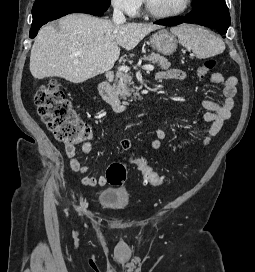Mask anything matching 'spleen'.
Here are the masks:
<instances>
[{
  "mask_svg": "<svg viewBox=\"0 0 255 272\" xmlns=\"http://www.w3.org/2000/svg\"><path fill=\"white\" fill-rule=\"evenodd\" d=\"M171 31L177 35L181 45L192 50L199 59L220 54L225 50L223 40L202 27L183 24Z\"/></svg>",
  "mask_w": 255,
  "mask_h": 272,
  "instance_id": "1",
  "label": "spleen"
}]
</instances>
